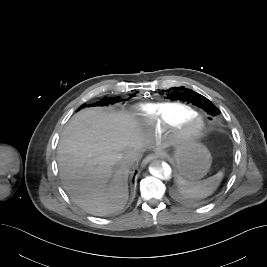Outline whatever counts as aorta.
I'll list each match as a JSON object with an SVG mask.
<instances>
[{
    "label": "aorta",
    "instance_id": "obj_1",
    "mask_svg": "<svg viewBox=\"0 0 267 267\" xmlns=\"http://www.w3.org/2000/svg\"><path fill=\"white\" fill-rule=\"evenodd\" d=\"M149 172L156 178L167 180L171 176L172 169L168 163L157 159L150 163Z\"/></svg>",
    "mask_w": 267,
    "mask_h": 267
}]
</instances>
